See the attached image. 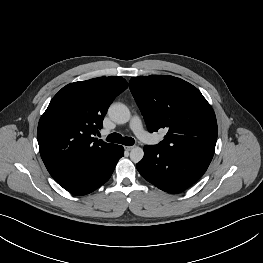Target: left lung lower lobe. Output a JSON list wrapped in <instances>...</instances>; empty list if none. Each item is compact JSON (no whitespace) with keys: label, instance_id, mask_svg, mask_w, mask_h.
I'll list each match as a JSON object with an SVG mask.
<instances>
[{"label":"left lung lower lobe","instance_id":"left-lung-lower-lobe-1","mask_svg":"<svg viewBox=\"0 0 263 263\" xmlns=\"http://www.w3.org/2000/svg\"><path fill=\"white\" fill-rule=\"evenodd\" d=\"M210 163L157 145L144 147V157L136 165L144 179L169 193H179L193 185Z\"/></svg>","mask_w":263,"mask_h":263}]
</instances>
